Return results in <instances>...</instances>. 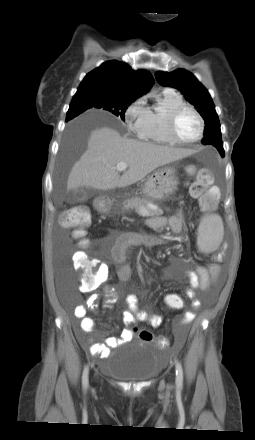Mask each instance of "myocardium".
Wrapping results in <instances>:
<instances>
[{"instance_id": "f54148a6", "label": "myocardium", "mask_w": 255, "mask_h": 440, "mask_svg": "<svg viewBox=\"0 0 255 440\" xmlns=\"http://www.w3.org/2000/svg\"><path fill=\"white\" fill-rule=\"evenodd\" d=\"M184 111L193 112L196 115V117L198 118L199 125H200L199 133H198L197 137L192 140H189V141H185V140L180 139L179 136L177 135V131H176L177 120H178L179 116ZM166 128H167L168 136L173 143L180 144V145H192V144L199 142L203 138L204 130H205V121H204L203 116L200 114V112L198 110H196L191 105L184 104V105H181V106H179L169 112V114L167 116Z\"/></svg>"}]
</instances>
